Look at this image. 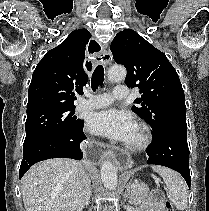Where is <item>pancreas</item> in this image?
I'll use <instances>...</instances> for the list:
<instances>
[{"label": "pancreas", "mask_w": 209, "mask_h": 211, "mask_svg": "<svg viewBox=\"0 0 209 211\" xmlns=\"http://www.w3.org/2000/svg\"><path fill=\"white\" fill-rule=\"evenodd\" d=\"M149 187L144 182H136L130 192V200L135 205H140L148 196Z\"/></svg>", "instance_id": "pancreas-1"}]
</instances>
